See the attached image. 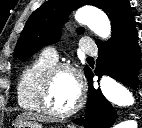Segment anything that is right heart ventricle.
Here are the masks:
<instances>
[{
    "label": "right heart ventricle",
    "instance_id": "right-heart-ventricle-1",
    "mask_svg": "<svg viewBox=\"0 0 142 128\" xmlns=\"http://www.w3.org/2000/svg\"><path fill=\"white\" fill-rule=\"evenodd\" d=\"M54 64V61L40 55L24 68L16 87L20 107L30 111L41 110L38 102L39 85L45 71Z\"/></svg>",
    "mask_w": 142,
    "mask_h": 128
}]
</instances>
